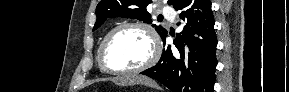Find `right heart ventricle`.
Segmentation results:
<instances>
[{"label":"right heart ventricle","instance_id":"right-heart-ventricle-1","mask_svg":"<svg viewBox=\"0 0 289 92\" xmlns=\"http://www.w3.org/2000/svg\"><path fill=\"white\" fill-rule=\"evenodd\" d=\"M105 36H106V35H105ZM105 36L103 37V39L105 38ZM103 39H102V41H103ZM102 41H101V43H102ZM101 43L99 44V47H98V50H97V60H98L99 49H100ZM98 63H99V60H98ZM99 66H100V64H99ZM100 69L102 70L101 67H100Z\"/></svg>","mask_w":289,"mask_h":92}]
</instances>
